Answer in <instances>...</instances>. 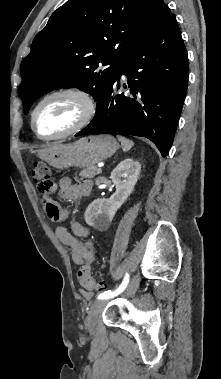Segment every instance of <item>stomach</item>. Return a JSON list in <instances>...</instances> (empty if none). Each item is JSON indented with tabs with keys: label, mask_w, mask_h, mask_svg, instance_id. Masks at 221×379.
<instances>
[{
	"label": "stomach",
	"mask_w": 221,
	"mask_h": 379,
	"mask_svg": "<svg viewBox=\"0 0 221 379\" xmlns=\"http://www.w3.org/2000/svg\"><path fill=\"white\" fill-rule=\"evenodd\" d=\"M118 149L110 135L88 136L76 142L55 143L38 151V156L57 169L88 168L112 156Z\"/></svg>",
	"instance_id": "0dacf381"
}]
</instances>
